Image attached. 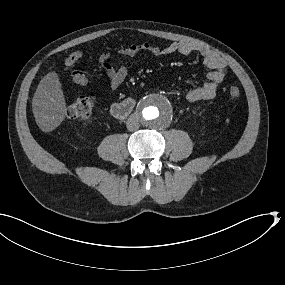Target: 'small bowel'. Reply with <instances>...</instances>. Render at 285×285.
I'll return each mask as SVG.
<instances>
[{"mask_svg": "<svg viewBox=\"0 0 285 285\" xmlns=\"http://www.w3.org/2000/svg\"><path fill=\"white\" fill-rule=\"evenodd\" d=\"M140 52H147L153 56L170 55L179 53L184 56L198 54L202 57L204 65L209 69L207 80L200 86L189 90L186 101L189 103L207 101L215 97L219 85L227 74L225 61L208 48L190 42H172L165 47H159L150 43L132 44L122 47L118 54L133 57ZM112 53L104 51L100 55V62L105 72L111 89L119 88L127 77V69L124 66H114L111 63Z\"/></svg>", "mask_w": 285, "mask_h": 285, "instance_id": "c3829d8e", "label": "small bowel"}]
</instances>
